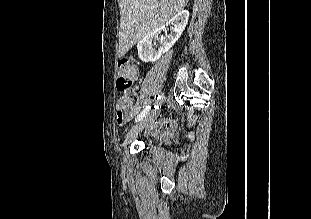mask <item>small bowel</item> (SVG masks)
<instances>
[{
  "label": "small bowel",
  "mask_w": 311,
  "mask_h": 219,
  "mask_svg": "<svg viewBox=\"0 0 311 219\" xmlns=\"http://www.w3.org/2000/svg\"><path fill=\"white\" fill-rule=\"evenodd\" d=\"M139 107L137 105H131L129 107V111L127 115L122 114V106L120 103V100L117 103V111H116V117H117V122L120 126L125 125L127 122H129L133 116L138 112Z\"/></svg>",
  "instance_id": "1"
}]
</instances>
